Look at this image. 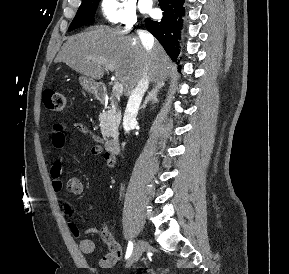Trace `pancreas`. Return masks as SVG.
<instances>
[{"instance_id":"pancreas-1","label":"pancreas","mask_w":289,"mask_h":274,"mask_svg":"<svg viewBox=\"0 0 289 274\" xmlns=\"http://www.w3.org/2000/svg\"><path fill=\"white\" fill-rule=\"evenodd\" d=\"M121 120V115L116 105L111 100L110 106L107 110L102 112L99 116L100 130L103 138L117 135L118 126Z\"/></svg>"}]
</instances>
